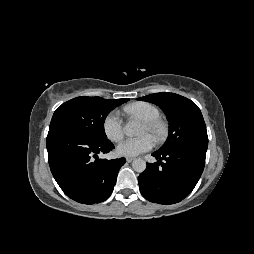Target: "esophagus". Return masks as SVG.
<instances>
[{
  "mask_svg": "<svg viewBox=\"0 0 254 254\" xmlns=\"http://www.w3.org/2000/svg\"><path fill=\"white\" fill-rule=\"evenodd\" d=\"M133 160H134V158H132V157H127V158H126V161H127L128 163L132 162Z\"/></svg>",
  "mask_w": 254,
  "mask_h": 254,
  "instance_id": "1",
  "label": "esophagus"
}]
</instances>
